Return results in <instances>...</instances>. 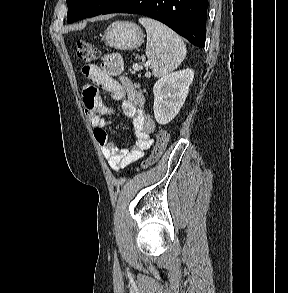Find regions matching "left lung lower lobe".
I'll use <instances>...</instances> for the list:
<instances>
[{"label": "left lung lower lobe", "instance_id": "0a47b994", "mask_svg": "<svg viewBox=\"0 0 288 293\" xmlns=\"http://www.w3.org/2000/svg\"><path fill=\"white\" fill-rule=\"evenodd\" d=\"M208 0H117L101 14L136 13L156 19L204 47Z\"/></svg>", "mask_w": 288, "mask_h": 293}]
</instances>
